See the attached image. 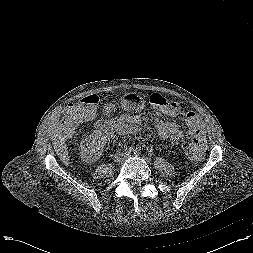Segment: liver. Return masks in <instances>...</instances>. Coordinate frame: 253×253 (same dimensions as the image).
Listing matches in <instances>:
<instances>
[{
    "instance_id": "6515ba94",
    "label": "liver",
    "mask_w": 253,
    "mask_h": 253,
    "mask_svg": "<svg viewBox=\"0 0 253 253\" xmlns=\"http://www.w3.org/2000/svg\"><path fill=\"white\" fill-rule=\"evenodd\" d=\"M59 116H60V112L58 111L50 122L48 132H49L50 139L52 141V145L55 149V152L59 156L60 160L65 165H68L69 157L67 153L65 138L62 134V131L58 122Z\"/></svg>"
}]
</instances>
